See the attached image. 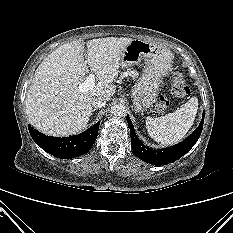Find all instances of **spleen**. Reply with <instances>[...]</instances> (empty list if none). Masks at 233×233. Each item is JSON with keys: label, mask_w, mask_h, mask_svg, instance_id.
I'll list each match as a JSON object with an SVG mask.
<instances>
[{"label": "spleen", "mask_w": 233, "mask_h": 233, "mask_svg": "<svg viewBox=\"0 0 233 233\" xmlns=\"http://www.w3.org/2000/svg\"><path fill=\"white\" fill-rule=\"evenodd\" d=\"M197 109L198 99L192 97L173 113L158 118L148 116L146 119L148 134L156 142L164 145L179 142L193 125Z\"/></svg>", "instance_id": "obj_1"}]
</instances>
